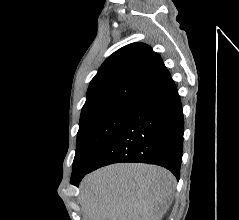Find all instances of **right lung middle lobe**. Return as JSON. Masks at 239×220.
<instances>
[{
	"label": "right lung middle lobe",
	"mask_w": 239,
	"mask_h": 220,
	"mask_svg": "<svg viewBox=\"0 0 239 220\" xmlns=\"http://www.w3.org/2000/svg\"><path fill=\"white\" fill-rule=\"evenodd\" d=\"M130 108V104L119 105L80 118L71 180L88 172Z\"/></svg>",
	"instance_id": "obj_1"
}]
</instances>
